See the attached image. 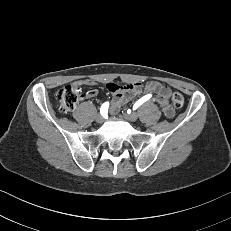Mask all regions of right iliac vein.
<instances>
[{
	"mask_svg": "<svg viewBox=\"0 0 231 231\" xmlns=\"http://www.w3.org/2000/svg\"><path fill=\"white\" fill-rule=\"evenodd\" d=\"M95 120L97 123H102L104 121V117L102 115H97Z\"/></svg>",
	"mask_w": 231,
	"mask_h": 231,
	"instance_id": "obj_1",
	"label": "right iliac vein"
}]
</instances>
